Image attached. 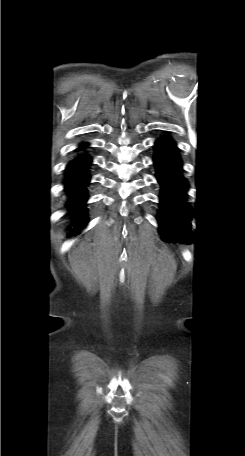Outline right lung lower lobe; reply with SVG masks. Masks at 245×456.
Segmentation results:
<instances>
[{
	"label": "right lung lower lobe",
	"instance_id": "obj_1",
	"mask_svg": "<svg viewBox=\"0 0 245 456\" xmlns=\"http://www.w3.org/2000/svg\"><path fill=\"white\" fill-rule=\"evenodd\" d=\"M86 144L81 145L77 150H83ZM91 164V157L87 154H79L69 162L66 168L65 190L68 194L67 209L72 218L73 224L70 235L78 233L87 223L85 202L87 200L86 187L90 176L88 167Z\"/></svg>",
	"mask_w": 245,
	"mask_h": 456
}]
</instances>
